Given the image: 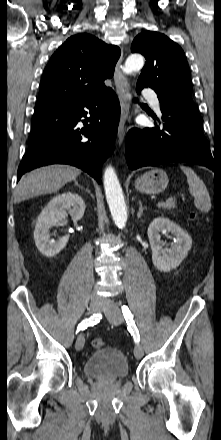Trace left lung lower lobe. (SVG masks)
Returning <instances> with one entry per match:
<instances>
[{
	"label": "left lung lower lobe",
	"instance_id": "obj_1",
	"mask_svg": "<svg viewBox=\"0 0 221 440\" xmlns=\"http://www.w3.org/2000/svg\"><path fill=\"white\" fill-rule=\"evenodd\" d=\"M142 88L137 85V92ZM160 103L163 128H133L127 134L125 150L129 168L190 162L215 172V159L203 134L202 117L176 105Z\"/></svg>",
	"mask_w": 221,
	"mask_h": 440
}]
</instances>
